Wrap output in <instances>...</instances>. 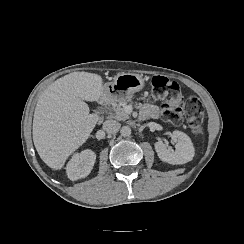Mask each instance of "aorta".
Listing matches in <instances>:
<instances>
[{"instance_id": "762f6f07", "label": "aorta", "mask_w": 244, "mask_h": 244, "mask_svg": "<svg viewBox=\"0 0 244 244\" xmlns=\"http://www.w3.org/2000/svg\"><path fill=\"white\" fill-rule=\"evenodd\" d=\"M120 133L123 137H129L131 135V128L129 126H123Z\"/></svg>"}]
</instances>
